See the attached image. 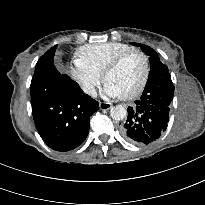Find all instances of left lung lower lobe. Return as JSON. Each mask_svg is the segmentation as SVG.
<instances>
[{
  "label": "left lung lower lobe",
  "mask_w": 205,
  "mask_h": 205,
  "mask_svg": "<svg viewBox=\"0 0 205 205\" xmlns=\"http://www.w3.org/2000/svg\"><path fill=\"white\" fill-rule=\"evenodd\" d=\"M169 111V105L136 100L134 107L128 108L127 120L121 128L123 137L139 145L155 142L167 128Z\"/></svg>",
  "instance_id": "obj_1"
}]
</instances>
